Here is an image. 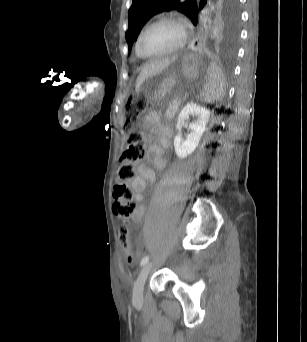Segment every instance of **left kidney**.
<instances>
[{"mask_svg":"<svg viewBox=\"0 0 307 342\" xmlns=\"http://www.w3.org/2000/svg\"><path fill=\"white\" fill-rule=\"evenodd\" d=\"M190 116L196 118L194 122L189 124L190 134H187L185 140H182L180 136L174 138V148L178 158H187L196 150L209 122L210 112L206 108H202V106L193 104V102L186 104L178 116L176 130H182L185 120H189Z\"/></svg>","mask_w":307,"mask_h":342,"instance_id":"obj_1","label":"left kidney"}]
</instances>
